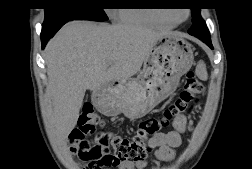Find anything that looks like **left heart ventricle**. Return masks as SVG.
Returning <instances> with one entry per match:
<instances>
[{"label": "left heart ventricle", "instance_id": "b2bd125f", "mask_svg": "<svg viewBox=\"0 0 252 169\" xmlns=\"http://www.w3.org/2000/svg\"><path fill=\"white\" fill-rule=\"evenodd\" d=\"M169 15L175 20H182L186 17V10L185 9L173 10L170 11Z\"/></svg>", "mask_w": 252, "mask_h": 169}]
</instances>
